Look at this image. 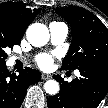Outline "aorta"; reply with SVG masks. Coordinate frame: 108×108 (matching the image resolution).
<instances>
[{
    "label": "aorta",
    "instance_id": "762f6f07",
    "mask_svg": "<svg viewBox=\"0 0 108 108\" xmlns=\"http://www.w3.org/2000/svg\"><path fill=\"white\" fill-rule=\"evenodd\" d=\"M27 40L35 47H41L47 44L50 38L48 28L41 23L30 25L26 31ZM59 83L56 80H48L44 84L45 91L50 95H55L59 91Z\"/></svg>",
    "mask_w": 108,
    "mask_h": 108
}]
</instances>
